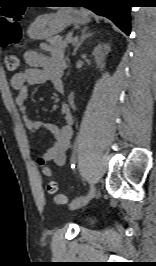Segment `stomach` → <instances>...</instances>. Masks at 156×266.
Wrapping results in <instances>:
<instances>
[{
	"instance_id": "1",
	"label": "stomach",
	"mask_w": 156,
	"mask_h": 266,
	"mask_svg": "<svg viewBox=\"0 0 156 266\" xmlns=\"http://www.w3.org/2000/svg\"><path fill=\"white\" fill-rule=\"evenodd\" d=\"M89 21L85 10L60 8L57 13L37 17L28 29V34L33 39L45 40L62 32L71 24H86Z\"/></svg>"
}]
</instances>
